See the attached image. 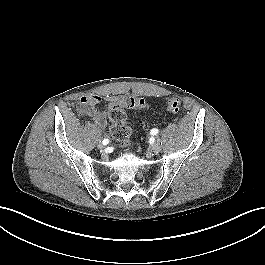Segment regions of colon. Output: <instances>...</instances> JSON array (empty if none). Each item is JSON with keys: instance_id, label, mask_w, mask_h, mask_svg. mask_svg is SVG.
<instances>
[{"instance_id": "5ec220e1", "label": "colon", "mask_w": 265, "mask_h": 265, "mask_svg": "<svg viewBox=\"0 0 265 265\" xmlns=\"http://www.w3.org/2000/svg\"><path fill=\"white\" fill-rule=\"evenodd\" d=\"M169 112H178L181 103L177 98H170L166 104ZM149 103L137 96H125L118 99L109 109L108 117L111 122V136L121 147L131 146L130 129L126 123V111L129 109H149Z\"/></svg>"}]
</instances>
